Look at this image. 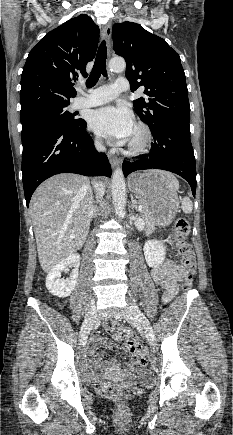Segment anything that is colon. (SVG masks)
<instances>
[{"label":"colon","mask_w":233,"mask_h":435,"mask_svg":"<svg viewBox=\"0 0 233 435\" xmlns=\"http://www.w3.org/2000/svg\"><path fill=\"white\" fill-rule=\"evenodd\" d=\"M174 227L175 242L180 263L189 273H193L196 268V263L194 250L192 245L188 242L190 225L186 219L179 217L175 220ZM182 289L185 292L192 290V280L190 277L185 278L182 281ZM107 331L112 333L110 328H108ZM124 335L126 336L125 346L127 350L134 353H144V350L139 342L135 340V336L131 330L125 329ZM101 392L103 395L113 399L119 404L126 402L130 397V390L128 388L113 384H103L101 386Z\"/></svg>","instance_id":"obj_1"}]
</instances>
